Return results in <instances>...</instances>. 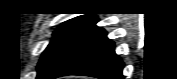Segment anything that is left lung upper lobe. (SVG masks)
<instances>
[{
    "mask_svg": "<svg viewBox=\"0 0 177 79\" xmlns=\"http://www.w3.org/2000/svg\"><path fill=\"white\" fill-rule=\"evenodd\" d=\"M97 21L95 15L87 14L64 22L53 33L54 38L42 54L37 79H49L74 45L96 28Z\"/></svg>",
    "mask_w": 177,
    "mask_h": 79,
    "instance_id": "obj_1",
    "label": "left lung upper lobe"
}]
</instances>
